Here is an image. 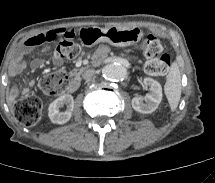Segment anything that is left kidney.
Segmentation results:
<instances>
[{
	"instance_id": "1",
	"label": "left kidney",
	"mask_w": 215,
	"mask_h": 183,
	"mask_svg": "<svg viewBox=\"0 0 215 183\" xmlns=\"http://www.w3.org/2000/svg\"><path fill=\"white\" fill-rule=\"evenodd\" d=\"M144 84L150 87V93L146 94L144 97L146 103L143 102V98L134 97L131 104L135 111L149 114L158 108L162 100V87L152 78H145Z\"/></svg>"
}]
</instances>
